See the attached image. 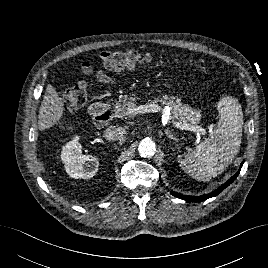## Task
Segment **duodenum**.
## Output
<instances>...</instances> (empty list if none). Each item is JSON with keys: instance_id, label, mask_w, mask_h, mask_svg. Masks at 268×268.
<instances>
[{"instance_id": "410a0bca", "label": "duodenum", "mask_w": 268, "mask_h": 268, "mask_svg": "<svg viewBox=\"0 0 268 268\" xmlns=\"http://www.w3.org/2000/svg\"><path fill=\"white\" fill-rule=\"evenodd\" d=\"M91 111L95 117V119L103 124L107 125L110 123L112 119L111 109L109 108L108 104L104 102H96L92 105Z\"/></svg>"}]
</instances>
